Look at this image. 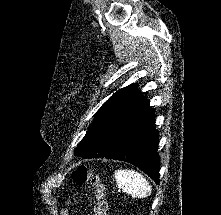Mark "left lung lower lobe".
Wrapping results in <instances>:
<instances>
[{"label": "left lung lower lobe", "instance_id": "0a47b994", "mask_svg": "<svg viewBox=\"0 0 221 215\" xmlns=\"http://www.w3.org/2000/svg\"><path fill=\"white\" fill-rule=\"evenodd\" d=\"M154 124V113L143 97L114 127L101 156L132 163L158 184L159 137Z\"/></svg>", "mask_w": 221, "mask_h": 215}]
</instances>
